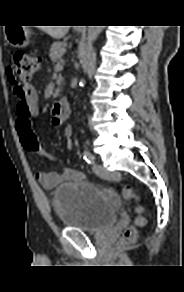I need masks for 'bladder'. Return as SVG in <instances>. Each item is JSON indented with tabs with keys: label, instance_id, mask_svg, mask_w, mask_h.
I'll use <instances>...</instances> for the list:
<instances>
[{
	"label": "bladder",
	"instance_id": "1",
	"mask_svg": "<svg viewBox=\"0 0 184 292\" xmlns=\"http://www.w3.org/2000/svg\"><path fill=\"white\" fill-rule=\"evenodd\" d=\"M120 199L94 184H65L55 190L52 206L66 228L102 233L114 224Z\"/></svg>",
	"mask_w": 184,
	"mask_h": 292
}]
</instances>
